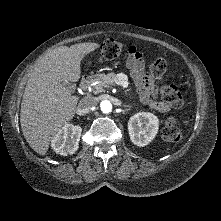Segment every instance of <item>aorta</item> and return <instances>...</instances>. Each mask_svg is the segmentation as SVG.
I'll return each instance as SVG.
<instances>
[{
	"label": "aorta",
	"mask_w": 221,
	"mask_h": 221,
	"mask_svg": "<svg viewBox=\"0 0 221 221\" xmlns=\"http://www.w3.org/2000/svg\"><path fill=\"white\" fill-rule=\"evenodd\" d=\"M100 108L103 113H109L112 110V104L108 100H104L100 103Z\"/></svg>",
	"instance_id": "obj_1"
}]
</instances>
